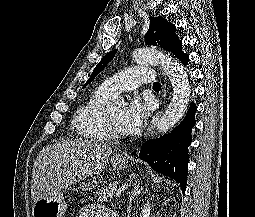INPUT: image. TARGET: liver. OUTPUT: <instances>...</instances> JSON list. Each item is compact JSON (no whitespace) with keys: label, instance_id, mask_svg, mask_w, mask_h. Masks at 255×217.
<instances>
[{"label":"liver","instance_id":"6515ba94","mask_svg":"<svg viewBox=\"0 0 255 217\" xmlns=\"http://www.w3.org/2000/svg\"><path fill=\"white\" fill-rule=\"evenodd\" d=\"M111 147L103 142L68 140L43 148L33 165L31 196L34 202L100 174Z\"/></svg>","mask_w":255,"mask_h":217}]
</instances>
